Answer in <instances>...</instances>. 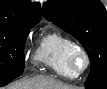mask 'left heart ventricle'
I'll return each mask as SVG.
<instances>
[{"label": "left heart ventricle", "mask_w": 107, "mask_h": 89, "mask_svg": "<svg viewBox=\"0 0 107 89\" xmlns=\"http://www.w3.org/2000/svg\"><path fill=\"white\" fill-rule=\"evenodd\" d=\"M75 64H76V67L80 68L83 65V60L80 57H77Z\"/></svg>", "instance_id": "1"}]
</instances>
